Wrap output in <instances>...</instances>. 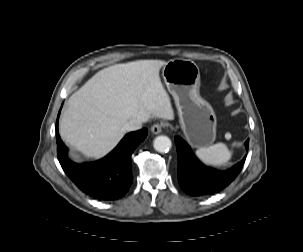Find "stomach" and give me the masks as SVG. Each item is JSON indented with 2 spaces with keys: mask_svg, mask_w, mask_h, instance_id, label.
I'll list each match as a JSON object with an SVG mask.
<instances>
[{
  "mask_svg": "<svg viewBox=\"0 0 303 252\" xmlns=\"http://www.w3.org/2000/svg\"><path fill=\"white\" fill-rule=\"evenodd\" d=\"M162 76L175 100L180 126L194 147L212 144L216 137V115L199 93L200 71L191 60L172 59L165 63Z\"/></svg>",
  "mask_w": 303,
  "mask_h": 252,
  "instance_id": "stomach-1",
  "label": "stomach"
}]
</instances>
